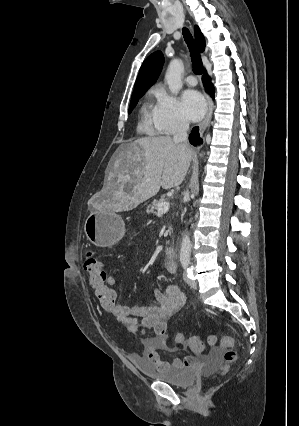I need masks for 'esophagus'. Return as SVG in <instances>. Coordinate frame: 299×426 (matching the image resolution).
<instances>
[{"label": "esophagus", "mask_w": 299, "mask_h": 426, "mask_svg": "<svg viewBox=\"0 0 299 426\" xmlns=\"http://www.w3.org/2000/svg\"><path fill=\"white\" fill-rule=\"evenodd\" d=\"M207 113L203 121L200 123V130L205 129V127L209 124L211 118H212V112H213V101L212 98L207 94Z\"/></svg>", "instance_id": "obj_1"}]
</instances>
